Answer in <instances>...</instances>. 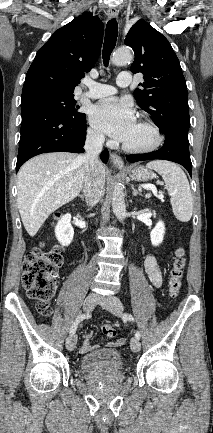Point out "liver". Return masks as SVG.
<instances>
[{"instance_id": "liver-1", "label": "liver", "mask_w": 213, "mask_h": 433, "mask_svg": "<svg viewBox=\"0 0 213 433\" xmlns=\"http://www.w3.org/2000/svg\"><path fill=\"white\" fill-rule=\"evenodd\" d=\"M100 170L105 177L102 163ZM85 177V161L73 153L42 154L20 168L17 205L23 225L31 237L36 235L52 212L79 195Z\"/></svg>"}]
</instances>
